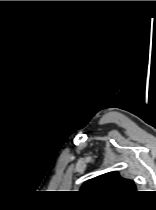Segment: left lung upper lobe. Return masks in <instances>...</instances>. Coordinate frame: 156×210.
Masks as SVG:
<instances>
[{"label": "left lung upper lobe", "mask_w": 156, "mask_h": 210, "mask_svg": "<svg viewBox=\"0 0 156 210\" xmlns=\"http://www.w3.org/2000/svg\"><path fill=\"white\" fill-rule=\"evenodd\" d=\"M81 190L96 193L128 195L136 192L135 183L118 172H109L86 181Z\"/></svg>", "instance_id": "left-lung-upper-lobe-1"}]
</instances>
